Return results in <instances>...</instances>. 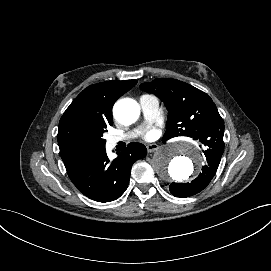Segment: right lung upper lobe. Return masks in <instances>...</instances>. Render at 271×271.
<instances>
[{
	"label": "right lung upper lobe",
	"instance_id": "right-lung-upper-lobe-1",
	"mask_svg": "<svg viewBox=\"0 0 271 271\" xmlns=\"http://www.w3.org/2000/svg\"><path fill=\"white\" fill-rule=\"evenodd\" d=\"M136 83V80L106 81L87 87L66 109L59 125L74 117H83L108 124L113 123L112 107L114 102ZM61 157L65 163L76 156L61 154Z\"/></svg>",
	"mask_w": 271,
	"mask_h": 271
}]
</instances>
